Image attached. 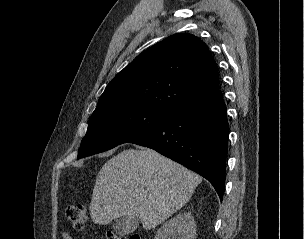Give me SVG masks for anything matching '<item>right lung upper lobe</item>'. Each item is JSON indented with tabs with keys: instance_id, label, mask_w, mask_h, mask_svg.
<instances>
[{
	"instance_id": "cb5924a9",
	"label": "right lung upper lobe",
	"mask_w": 304,
	"mask_h": 239,
	"mask_svg": "<svg viewBox=\"0 0 304 239\" xmlns=\"http://www.w3.org/2000/svg\"><path fill=\"white\" fill-rule=\"evenodd\" d=\"M219 89L217 65L198 37L179 33L138 55L108 84L93 115L143 107L174 114Z\"/></svg>"
}]
</instances>
